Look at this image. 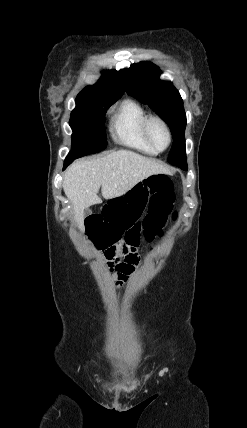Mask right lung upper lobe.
Here are the masks:
<instances>
[{"instance_id": "cb5924a9", "label": "right lung upper lobe", "mask_w": 247, "mask_h": 428, "mask_svg": "<svg viewBox=\"0 0 247 428\" xmlns=\"http://www.w3.org/2000/svg\"><path fill=\"white\" fill-rule=\"evenodd\" d=\"M124 89L117 71L104 72L100 80L85 87L77 96L92 97L103 102L114 103L123 94Z\"/></svg>"}]
</instances>
